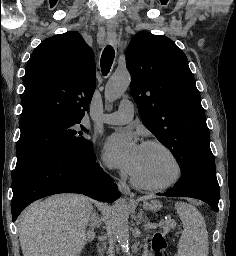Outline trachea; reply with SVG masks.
<instances>
[{
    "instance_id": "3493384b",
    "label": "trachea",
    "mask_w": 236,
    "mask_h": 256,
    "mask_svg": "<svg viewBox=\"0 0 236 256\" xmlns=\"http://www.w3.org/2000/svg\"><path fill=\"white\" fill-rule=\"evenodd\" d=\"M114 55H115V51L112 48V46H107L104 49L102 53L101 61H100L101 71L104 75L108 74L114 60Z\"/></svg>"
}]
</instances>
